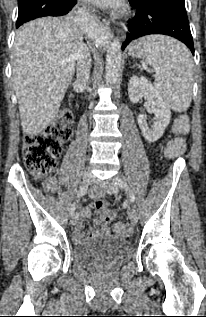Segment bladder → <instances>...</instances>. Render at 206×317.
<instances>
[{"label":"bladder","mask_w":206,"mask_h":317,"mask_svg":"<svg viewBox=\"0 0 206 317\" xmlns=\"http://www.w3.org/2000/svg\"><path fill=\"white\" fill-rule=\"evenodd\" d=\"M132 255L130 241L116 236L99 237L74 247L73 258L83 266H117Z\"/></svg>","instance_id":"bladder-1"}]
</instances>
